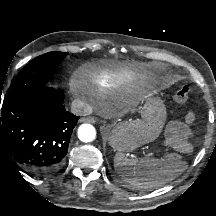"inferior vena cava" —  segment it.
<instances>
[{"label": "inferior vena cava", "instance_id": "1", "mask_svg": "<svg viewBox=\"0 0 216 216\" xmlns=\"http://www.w3.org/2000/svg\"><path fill=\"white\" fill-rule=\"evenodd\" d=\"M71 111L75 115L82 116L91 113L92 107L80 99H75L71 104Z\"/></svg>", "mask_w": 216, "mask_h": 216}]
</instances>
